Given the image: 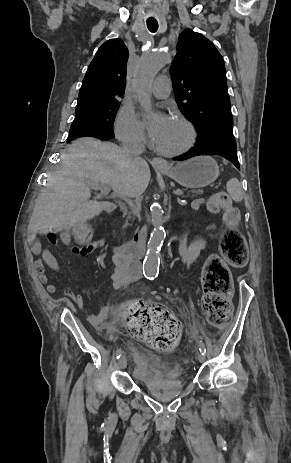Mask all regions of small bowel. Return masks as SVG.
<instances>
[{"label": "small bowel", "mask_w": 291, "mask_h": 463, "mask_svg": "<svg viewBox=\"0 0 291 463\" xmlns=\"http://www.w3.org/2000/svg\"><path fill=\"white\" fill-rule=\"evenodd\" d=\"M60 240L64 245L71 246L72 238L69 234L63 233L60 236ZM106 241L104 239H98L82 246H71L72 251L77 255H87L98 248H104ZM205 243L202 240H194L191 243H187L185 239L181 240L180 254L182 260L190 264L195 261L200 253L204 250ZM32 251L39 258L35 261L34 268L38 279L46 284V289L49 293H55L57 287L54 284L48 283V276L45 272V265L55 272L60 271L59 264L49 249L43 248L39 241L34 240L32 243ZM113 261L115 265V272L111 276V282L115 291L120 290L129 284L141 279V266L140 263L129 255L123 253H114ZM66 295L73 300L77 306L87 311V302L84 294H75L71 288H67ZM109 316V306H103L97 314H87L88 322L95 327H103Z\"/></svg>", "instance_id": "1"}]
</instances>
